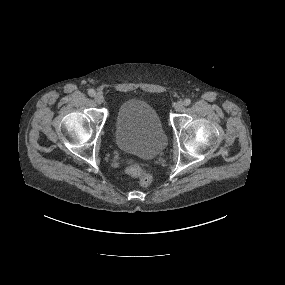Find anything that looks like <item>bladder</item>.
Wrapping results in <instances>:
<instances>
[{
	"instance_id": "obj_1",
	"label": "bladder",
	"mask_w": 285,
	"mask_h": 285,
	"mask_svg": "<svg viewBox=\"0 0 285 285\" xmlns=\"http://www.w3.org/2000/svg\"><path fill=\"white\" fill-rule=\"evenodd\" d=\"M115 141L122 150L154 158L165 149L167 136L157 111L143 100L131 99L116 113Z\"/></svg>"
}]
</instances>
